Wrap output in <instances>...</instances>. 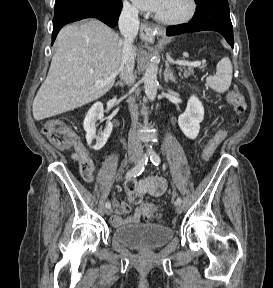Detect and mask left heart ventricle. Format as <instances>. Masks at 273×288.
<instances>
[{
  "mask_svg": "<svg viewBox=\"0 0 273 288\" xmlns=\"http://www.w3.org/2000/svg\"><path fill=\"white\" fill-rule=\"evenodd\" d=\"M188 8V0H165L157 14L166 18H176L184 15Z\"/></svg>",
  "mask_w": 273,
  "mask_h": 288,
  "instance_id": "b2bd125f",
  "label": "left heart ventricle"
}]
</instances>
